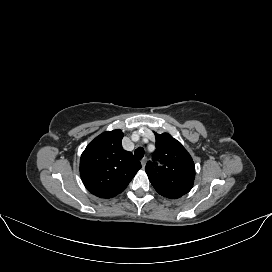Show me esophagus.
<instances>
[{"mask_svg": "<svg viewBox=\"0 0 272 272\" xmlns=\"http://www.w3.org/2000/svg\"><path fill=\"white\" fill-rule=\"evenodd\" d=\"M146 162H147V158H143V159L141 160V164H142V167H143V168H145Z\"/></svg>", "mask_w": 272, "mask_h": 272, "instance_id": "1", "label": "esophagus"}]
</instances>
